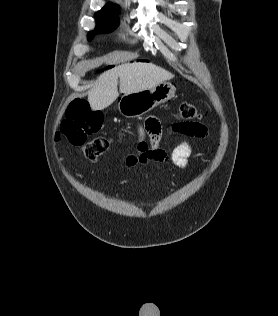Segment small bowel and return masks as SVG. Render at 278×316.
I'll use <instances>...</instances> for the list:
<instances>
[{
    "mask_svg": "<svg viewBox=\"0 0 278 316\" xmlns=\"http://www.w3.org/2000/svg\"><path fill=\"white\" fill-rule=\"evenodd\" d=\"M206 135L207 130L203 127L196 137L203 138ZM161 136L160 121L155 117L148 118L145 124L138 128V139L135 141L136 152L123 155L119 160L120 166L130 168L155 161L164 165H173L179 169L187 168L193 151L191 144L188 141H182L170 152H167L160 147ZM147 138L149 142H147Z\"/></svg>",
    "mask_w": 278,
    "mask_h": 316,
    "instance_id": "obj_1",
    "label": "small bowel"
}]
</instances>
